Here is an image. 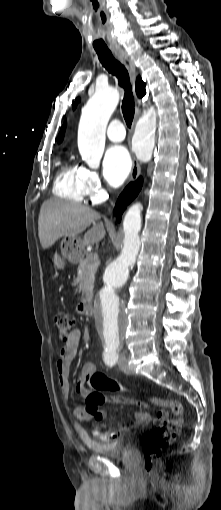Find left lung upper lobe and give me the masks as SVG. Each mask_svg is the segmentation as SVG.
<instances>
[{"instance_id": "1", "label": "left lung upper lobe", "mask_w": 221, "mask_h": 510, "mask_svg": "<svg viewBox=\"0 0 221 510\" xmlns=\"http://www.w3.org/2000/svg\"><path fill=\"white\" fill-rule=\"evenodd\" d=\"M79 102V99L76 100V102L73 104V108L76 107L77 103Z\"/></svg>"}]
</instances>
